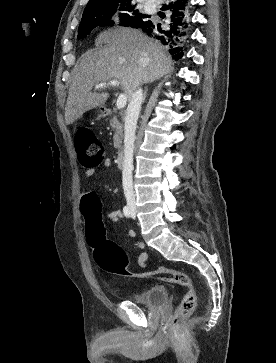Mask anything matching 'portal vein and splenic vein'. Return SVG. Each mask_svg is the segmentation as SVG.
Instances as JSON below:
<instances>
[{"label":"portal vein and splenic vein","mask_w":276,"mask_h":363,"mask_svg":"<svg viewBox=\"0 0 276 363\" xmlns=\"http://www.w3.org/2000/svg\"><path fill=\"white\" fill-rule=\"evenodd\" d=\"M120 85V82L118 80H111L109 82H104V83H100V84H97L95 86V89H100V88H106L108 86H113V87H116V86H119ZM126 103H127V97L125 94H120L118 96V99H117V102H116V107L118 109H122L126 106Z\"/></svg>","instance_id":"18ae733b"}]
</instances>
